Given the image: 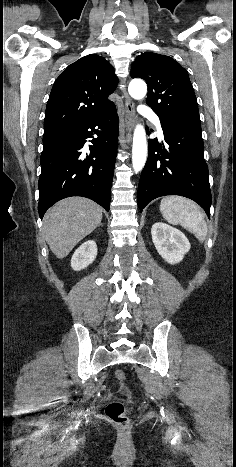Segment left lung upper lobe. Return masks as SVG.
<instances>
[{
  "label": "left lung upper lobe",
  "mask_w": 236,
  "mask_h": 467,
  "mask_svg": "<svg viewBox=\"0 0 236 467\" xmlns=\"http://www.w3.org/2000/svg\"><path fill=\"white\" fill-rule=\"evenodd\" d=\"M131 77L146 81V103L160 119L200 120L188 73L171 57L156 53L141 54L132 65Z\"/></svg>",
  "instance_id": "1"
}]
</instances>
